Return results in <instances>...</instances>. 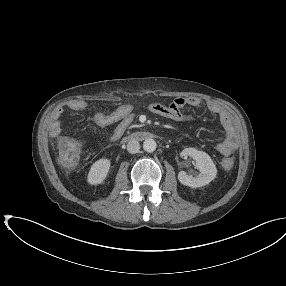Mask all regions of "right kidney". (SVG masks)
<instances>
[{"instance_id":"obj_1","label":"right kidney","mask_w":286,"mask_h":286,"mask_svg":"<svg viewBox=\"0 0 286 286\" xmlns=\"http://www.w3.org/2000/svg\"><path fill=\"white\" fill-rule=\"evenodd\" d=\"M111 162L109 159L102 158L97 160L88 173L87 181L91 185L101 184L107 177Z\"/></svg>"}]
</instances>
